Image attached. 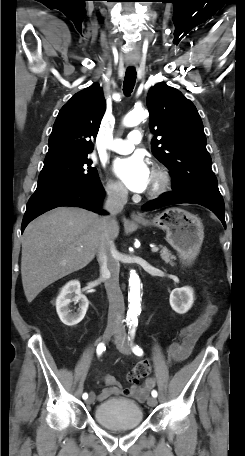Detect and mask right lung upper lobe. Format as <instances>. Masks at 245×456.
Wrapping results in <instances>:
<instances>
[{"mask_svg":"<svg viewBox=\"0 0 245 456\" xmlns=\"http://www.w3.org/2000/svg\"><path fill=\"white\" fill-rule=\"evenodd\" d=\"M106 110L102 88L94 83L76 93L60 110L49 137L44 166L88 155Z\"/></svg>","mask_w":245,"mask_h":456,"instance_id":"1","label":"right lung upper lobe"}]
</instances>
